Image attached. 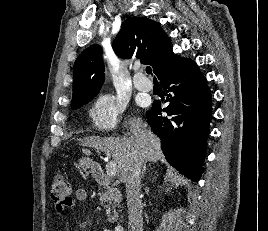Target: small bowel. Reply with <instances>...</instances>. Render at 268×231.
Listing matches in <instances>:
<instances>
[{
    "mask_svg": "<svg viewBox=\"0 0 268 231\" xmlns=\"http://www.w3.org/2000/svg\"><path fill=\"white\" fill-rule=\"evenodd\" d=\"M86 199H87V191H86V189H84V188H76L74 190V195H73L72 201H70L68 204H57V205H55V208H56L57 211H62L65 208H68L69 206H71V204L73 202L81 203V202H84Z\"/></svg>",
    "mask_w": 268,
    "mask_h": 231,
    "instance_id": "1",
    "label": "small bowel"
}]
</instances>
